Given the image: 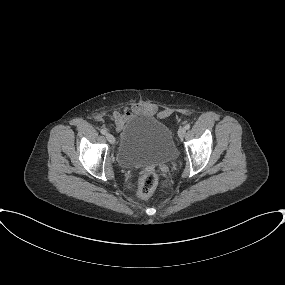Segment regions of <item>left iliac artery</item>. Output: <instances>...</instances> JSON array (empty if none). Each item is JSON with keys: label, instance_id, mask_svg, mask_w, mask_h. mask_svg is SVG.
Wrapping results in <instances>:
<instances>
[{"label": "left iliac artery", "instance_id": "44dca946", "mask_svg": "<svg viewBox=\"0 0 285 285\" xmlns=\"http://www.w3.org/2000/svg\"><path fill=\"white\" fill-rule=\"evenodd\" d=\"M185 129H186V130L190 129V124H186V125H185Z\"/></svg>", "mask_w": 285, "mask_h": 285}]
</instances>
